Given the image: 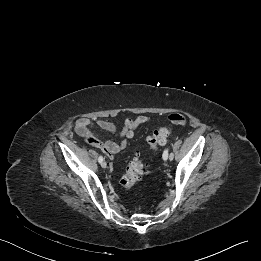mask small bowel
Instances as JSON below:
<instances>
[{"mask_svg": "<svg viewBox=\"0 0 261 261\" xmlns=\"http://www.w3.org/2000/svg\"><path fill=\"white\" fill-rule=\"evenodd\" d=\"M173 116L185 118L184 115L175 113L171 114L169 119ZM149 123H152V119L148 116L140 115L135 118L128 117L124 119L122 129L118 130L114 123L105 119L93 121L89 118H79L75 122V130L87 143L99 148L112 159L114 154L119 153L126 148L128 141L133 138L139 126ZM94 126H98L102 130L122 138V140L120 142L103 141L92 131Z\"/></svg>", "mask_w": 261, "mask_h": 261, "instance_id": "obj_1", "label": "small bowel"}]
</instances>
